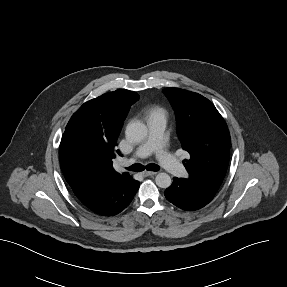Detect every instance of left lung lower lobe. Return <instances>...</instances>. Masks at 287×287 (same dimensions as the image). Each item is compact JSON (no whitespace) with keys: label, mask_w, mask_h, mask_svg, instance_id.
I'll return each mask as SVG.
<instances>
[{"label":"left lung lower lobe","mask_w":287,"mask_h":287,"mask_svg":"<svg viewBox=\"0 0 287 287\" xmlns=\"http://www.w3.org/2000/svg\"><path fill=\"white\" fill-rule=\"evenodd\" d=\"M217 191L189 179L174 178L172 185L166 189V199L186 211L198 210L206 206Z\"/></svg>","instance_id":"left-lung-lower-lobe-1"}]
</instances>
